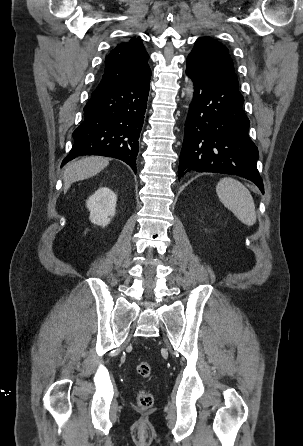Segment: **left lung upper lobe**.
<instances>
[{"mask_svg": "<svg viewBox=\"0 0 303 446\" xmlns=\"http://www.w3.org/2000/svg\"><path fill=\"white\" fill-rule=\"evenodd\" d=\"M187 59L238 87V79L229 50L217 40L210 37L198 38Z\"/></svg>", "mask_w": 303, "mask_h": 446, "instance_id": "1", "label": "left lung upper lobe"}]
</instances>
